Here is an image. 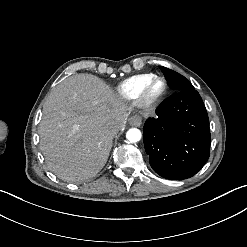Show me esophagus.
<instances>
[{"mask_svg": "<svg viewBox=\"0 0 247 247\" xmlns=\"http://www.w3.org/2000/svg\"><path fill=\"white\" fill-rule=\"evenodd\" d=\"M129 123L131 126L139 127L142 123V118L139 114H135L129 118Z\"/></svg>", "mask_w": 247, "mask_h": 247, "instance_id": "1", "label": "esophagus"}]
</instances>
